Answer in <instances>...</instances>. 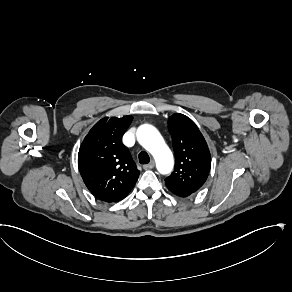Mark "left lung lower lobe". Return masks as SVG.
<instances>
[{
	"label": "left lung lower lobe",
	"mask_w": 292,
	"mask_h": 292,
	"mask_svg": "<svg viewBox=\"0 0 292 292\" xmlns=\"http://www.w3.org/2000/svg\"><path fill=\"white\" fill-rule=\"evenodd\" d=\"M172 193H174L175 195L179 196V197H187L189 195H191L192 193H188V192H183V191H171Z\"/></svg>",
	"instance_id": "0a47b994"
}]
</instances>
